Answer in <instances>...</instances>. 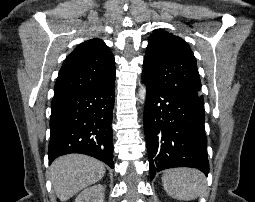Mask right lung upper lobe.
Returning a JSON list of instances; mask_svg holds the SVG:
<instances>
[{
	"instance_id": "1",
	"label": "right lung upper lobe",
	"mask_w": 255,
	"mask_h": 202,
	"mask_svg": "<svg viewBox=\"0 0 255 202\" xmlns=\"http://www.w3.org/2000/svg\"><path fill=\"white\" fill-rule=\"evenodd\" d=\"M114 80V56L101 39L94 38L67 56L55 83L54 96L102 87Z\"/></svg>"
}]
</instances>
